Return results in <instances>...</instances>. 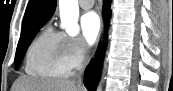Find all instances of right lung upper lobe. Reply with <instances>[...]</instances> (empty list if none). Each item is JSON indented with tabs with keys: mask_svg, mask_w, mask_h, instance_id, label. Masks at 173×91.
<instances>
[{
	"mask_svg": "<svg viewBox=\"0 0 173 91\" xmlns=\"http://www.w3.org/2000/svg\"><path fill=\"white\" fill-rule=\"evenodd\" d=\"M56 8V0H30L27 6L21 32L44 25Z\"/></svg>",
	"mask_w": 173,
	"mask_h": 91,
	"instance_id": "right-lung-upper-lobe-1",
	"label": "right lung upper lobe"
}]
</instances>
